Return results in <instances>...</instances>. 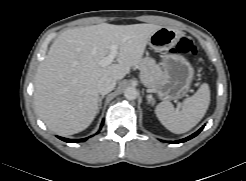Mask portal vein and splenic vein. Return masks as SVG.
<instances>
[{
  "instance_id": "obj_1",
  "label": "portal vein and splenic vein",
  "mask_w": 246,
  "mask_h": 181,
  "mask_svg": "<svg viewBox=\"0 0 246 181\" xmlns=\"http://www.w3.org/2000/svg\"><path fill=\"white\" fill-rule=\"evenodd\" d=\"M118 54V45H111L110 53L100 61V65L105 67L110 65Z\"/></svg>"
}]
</instances>
